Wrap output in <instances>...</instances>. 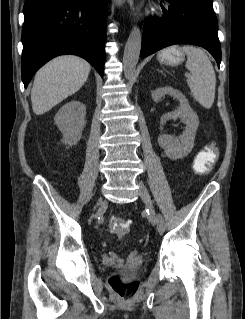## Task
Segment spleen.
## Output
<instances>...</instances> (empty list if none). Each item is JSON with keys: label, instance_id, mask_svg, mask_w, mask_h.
I'll return each mask as SVG.
<instances>
[{"label": "spleen", "instance_id": "1", "mask_svg": "<svg viewBox=\"0 0 245 319\" xmlns=\"http://www.w3.org/2000/svg\"><path fill=\"white\" fill-rule=\"evenodd\" d=\"M187 55L186 68L191 72L187 83L193 97L204 108L210 109L215 98L216 77L207 54L200 48L185 45L181 48Z\"/></svg>", "mask_w": 245, "mask_h": 319}]
</instances>
